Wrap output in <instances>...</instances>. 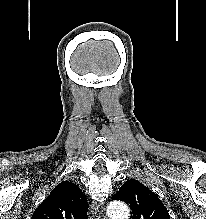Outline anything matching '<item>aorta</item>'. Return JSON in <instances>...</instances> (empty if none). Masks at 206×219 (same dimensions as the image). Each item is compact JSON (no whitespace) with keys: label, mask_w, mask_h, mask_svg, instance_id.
<instances>
[{"label":"aorta","mask_w":206,"mask_h":219,"mask_svg":"<svg viewBox=\"0 0 206 219\" xmlns=\"http://www.w3.org/2000/svg\"><path fill=\"white\" fill-rule=\"evenodd\" d=\"M107 213L110 219H128L129 207L121 201H113L108 205Z\"/></svg>","instance_id":"1"}]
</instances>
